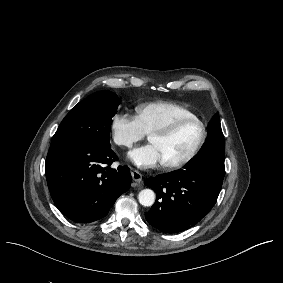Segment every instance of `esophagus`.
I'll return each mask as SVG.
<instances>
[{
    "mask_svg": "<svg viewBox=\"0 0 283 283\" xmlns=\"http://www.w3.org/2000/svg\"><path fill=\"white\" fill-rule=\"evenodd\" d=\"M131 176H132V179L135 181V182H141L142 181V175L140 172H138L137 170H132L131 171Z\"/></svg>",
    "mask_w": 283,
    "mask_h": 283,
    "instance_id": "1",
    "label": "esophagus"
}]
</instances>
